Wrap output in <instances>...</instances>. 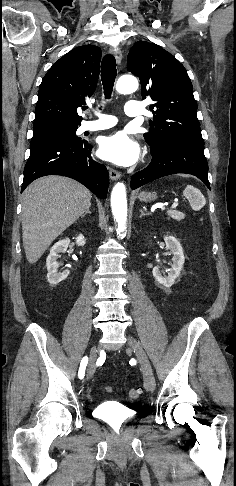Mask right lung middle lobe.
<instances>
[{
	"mask_svg": "<svg viewBox=\"0 0 236 486\" xmlns=\"http://www.w3.org/2000/svg\"><path fill=\"white\" fill-rule=\"evenodd\" d=\"M77 123H48L33 126V138L42 136H58L68 140H79L75 133Z\"/></svg>",
	"mask_w": 236,
	"mask_h": 486,
	"instance_id": "dd1d6c3e",
	"label": "right lung middle lobe"
}]
</instances>
